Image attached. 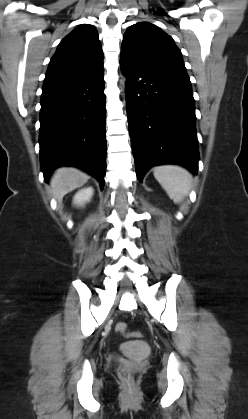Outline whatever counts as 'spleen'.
Returning a JSON list of instances; mask_svg holds the SVG:
<instances>
[{"label":"spleen","instance_id":"obj_1","mask_svg":"<svg viewBox=\"0 0 248 419\" xmlns=\"http://www.w3.org/2000/svg\"><path fill=\"white\" fill-rule=\"evenodd\" d=\"M153 173L174 203L182 202L184 197L188 195L192 177L184 168L176 165H164L156 167Z\"/></svg>","mask_w":248,"mask_h":419}]
</instances>
